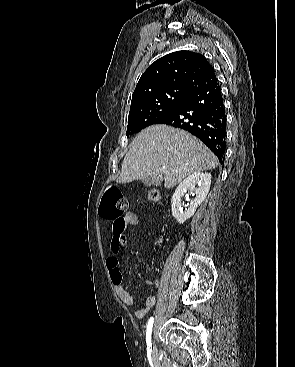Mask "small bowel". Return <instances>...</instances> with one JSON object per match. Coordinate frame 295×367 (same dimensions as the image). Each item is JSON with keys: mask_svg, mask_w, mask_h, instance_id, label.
I'll list each match as a JSON object with an SVG mask.
<instances>
[{"mask_svg": "<svg viewBox=\"0 0 295 367\" xmlns=\"http://www.w3.org/2000/svg\"><path fill=\"white\" fill-rule=\"evenodd\" d=\"M138 216L134 212L125 213L119 221H114L112 224V239L110 244L111 255L106 259V266L109 271L112 283L115 288L117 296L121 299L123 303L131 307H138L135 311V316L137 318L144 317L150 309L155 305L156 297L149 296L142 302H138L125 288L123 282V276L118 266V259L116 255L118 254L122 242V238L125 230L128 227L135 226L138 224ZM147 285L159 286V280H147Z\"/></svg>", "mask_w": 295, "mask_h": 367, "instance_id": "small-bowel-1", "label": "small bowel"}]
</instances>
